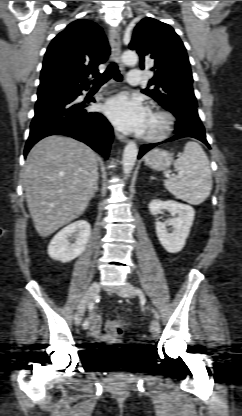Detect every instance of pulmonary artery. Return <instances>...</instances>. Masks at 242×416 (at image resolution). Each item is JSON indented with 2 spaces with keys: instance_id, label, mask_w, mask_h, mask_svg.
I'll use <instances>...</instances> for the list:
<instances>
[{
  "instance_id": "1",
  "label": "pulmonary artery",
  "mask_w": 242,
  "mask_h": 416,
  "mask_svg": "<svg viewBox=\"0 0 242 416\" xmlns=\"http://www.w3.org/2000/svg\"><path fill=\"white\" fill-rule=\"evenodd\" d=\"M143 70L140 69H132L129 71L127 76V82L130 85H138L141 83L142 80Z\"/></svg>"
}]
</instances>
